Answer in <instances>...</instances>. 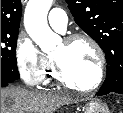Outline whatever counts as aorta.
<instances>
[{"mask_svg":"<svg viewBox=\"0 0 123 113\" xmlns=\"http://www.w3.org/2000/svg\"><path fill=\"white\" fill-rule=\"evenodd\" d=\"M53 0H29L24 14V26L32 40L44 53L53 51L60 40L47 23Z\"/></svg>","mask_w":123,"mask_h":113,"instance_id":"obj_1","label":"aorta"}]
</instances>
